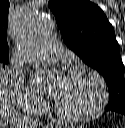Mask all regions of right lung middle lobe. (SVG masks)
<instances>
[{
  "label": "right lung middle lobe",
  "instance_id": "1",
  "mask_svg": "<svg viewBox=\"0 0 125 128\" xmlns=\"http://www.w3.org/2000/svg\"><path fill=\"white\" fill-rule=\"evenodd\" d=\"M9 63V59H6V58H0V67H2L3 65V68H5V64H8Z\"/></svg>",
  "mask_w": 125,
  "mask_h": 128
}]
</instances>
